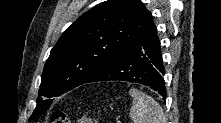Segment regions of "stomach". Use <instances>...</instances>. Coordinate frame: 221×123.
<instances>
[{
	"label": "stomach",
	"instance_id": "1",
	"mask_svg": "<svg viewBox=\"0 0 221 123\" xmlns=\"http://www.w3.org/2000/svg\"><path fill=\"white\" fill-rule=\"evenodd\" d=\"M81 123H93V120L90 119V118H83V119L81 120Z\"/></svg>",
	"mask_w": 221,
	"mask_h": 123
}]
</instances>
